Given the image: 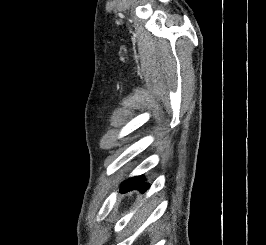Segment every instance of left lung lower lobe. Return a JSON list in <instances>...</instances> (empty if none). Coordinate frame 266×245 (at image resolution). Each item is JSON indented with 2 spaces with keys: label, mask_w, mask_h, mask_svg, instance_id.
Returning a JSON list of instances; mask_svg holds the SVG:
<instances>
[{
  "label": "left lung lower lobe",
  "mask_w": 266,
  "mask_h": 245,
  "mask_svg": "<svg viewBox=\"0 0 266 245\" xmlns=\"http://www.w3.org/2000/svg\"><path fill=\"white\" fill-rule=\"evenodd\" d=\"M148 188V184L144 182V176H138L131 178L121 186L120 192L124 193L133 189L145 190Z\"/></svg>",
  "instance_id": "1"
}]
</instances>
